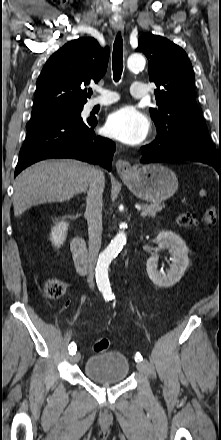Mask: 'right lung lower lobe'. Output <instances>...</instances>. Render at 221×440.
I'll use <instances>...</instances> for the list:
<instances>
[{
    "mask_svg": "<svg viewBox=\"0 0 221 440\" xmlns=\"http://www.w3.org/2000/svg\"><path fill=\"white\" fill-rule=\"evenodd\" d=\"M96 124V118L82 120L80 115L31 117L15 176L31 164L49 158H74L99 164L110 171L115 144L95 134Z\"/></svg>",
    "mask_w": 221,
    "mask_h": 440,
    "instance_id": "98d812e1",
    "label": "right lung lower lobe"
}]
</instances>
